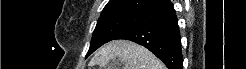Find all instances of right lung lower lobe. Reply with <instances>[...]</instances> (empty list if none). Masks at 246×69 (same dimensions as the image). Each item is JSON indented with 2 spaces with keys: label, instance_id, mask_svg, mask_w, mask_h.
I'll use <instances>...</instances> for the list:
<instances>
[{
  "label": "right lung lower lobe",
  "instance_id": "98d812e1",
  "mask_svg": "<svg viewBox=\"0 0 246 69\" xmlns=\"http://www.w3.org/2000/svg\"><path fill=\"white\" fill-rule=\"evenodd\" d=\"M173 4L168 1L142 14V20L115 39L136 42L154 53L169 69H182L181 41Z\"/></svg>",
  "mask_w": 246,
  "mask_h": 69
}]
</instances>
